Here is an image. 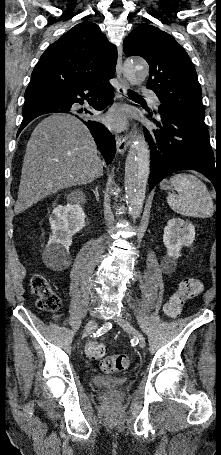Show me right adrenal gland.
Returning a JSON list of instances; mask_svg holds the SVG:
<instances>
[{
	"label": "right adrenal gland",
	"instance_id": "right-adrenal-gland-1",
	"mask_svg": "<svg viewBox=\"0 0 221 455\" xmlns=\"http://www.w3.org/2000/svg\"><path fill=\"white\" fill-rule=\"evenodd\" d=\"M98 189H99V186H96L95 187V190L92 189L94 195H95V198L97 201H99V193H98Z\"/></svg>",
	"mask_w": 221,
	"mask_h": 455
}]
</instances>
